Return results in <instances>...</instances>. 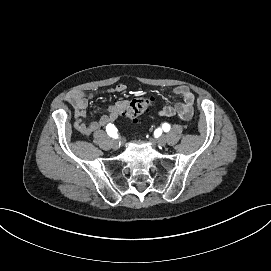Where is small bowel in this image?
<instances>
[{
	"label": "small bowel",
	"mask_w": 271,
	"mask_h": 271,
	"mask_svg": "<svg viewBox=\"0 0 271 271\" xmlns=\"http://www.w3.org/2000/svg\"><path fill=\"white\" fill-rule=\"evenodd\" d=\"M127 89L125 84H118L110 89L107 93H122ZM172 94L179 97L180 101L174 105L165 106L157 111L159 116L178 117L183 121H188L193 116L194 94L187 86H177L172 90ZM93 94H87L81 90L74 89L67 93L66 100L74 109L75 130L84 136H89L98 132L102 127L113 122L124 113L127 101L119 100L110 106L107 114H103L99 120L85 122L86 108Z\"/></svg>",
	"instance_id": "obj_1"
}]
</instances>
